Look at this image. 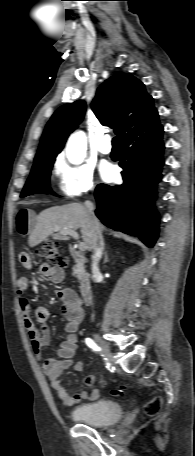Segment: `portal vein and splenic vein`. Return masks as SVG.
Returning a JSON list of instances; mask_svg holds the SVG:
<instances>
[{
    "label": "portal vein and splenic vein",
    "instance_id": "portal-vein-and-splenic-vein-1",
    "mask_svg": "<svg viewBox=\"0 0 195 456\" xmlns=\"http://www.w3.org/2000/svg\"><path fill=\"white\" fill-rule=\"evenodd\" d=\"M65 233L68 235H71L75 239L79 238L78 233L74 230H66ZM86 249H87V245L84 242H81L79 244V250L82 252V251H85Z\"/></svg>",
    "mask_w": 195,
    "mask_h": 456
}]
</instances>
